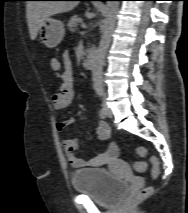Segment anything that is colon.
<instances>
[{
    "mask_svg": "<svg viewBox=\"0 0 188 213\" xmlns=\"http://www.w3.org/2000/svg\"><path fill=\"white\" fill-rule=\"evenodd\" d=\"M51 67L53 70L58 71L60 69V61L57 58H52L51 59ZM147 153V150L145 147L140 146L137 148V154L139 157H144ZM151 164H152V175L156 177L159 173V162L156 157L151 158ZM134 168L138 172H142L145 170L146 166L142 161H137L134 164ZM151 193V189L148 187L142 188L136 195H134L133 200L134 201H139L142 199H145L148 197Z\"/></svg>",
    "mask_w": 188,
    "mask_h": 213,
    "instance_id": "1",
    "label": "colon"
}]
</instances>
